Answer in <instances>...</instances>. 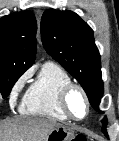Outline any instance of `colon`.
Listing matches in <instances>:
<instances>
[{
    "mask_svg": "<svg viewBox=\"0 0 119 141\" xmlns=\"http://www.w3.org/2000/svg\"><path fill=\"white\" fill-rule=\"evenodd\" d=\"M73 141H87V139L83 135H77V136H75V138L73 139Z\"/></svg>",
    "mask_w": 119,
    "mask_h": 141,
    "instance_id": "obj_1",
    "label": "colon"
}]
</instances>
